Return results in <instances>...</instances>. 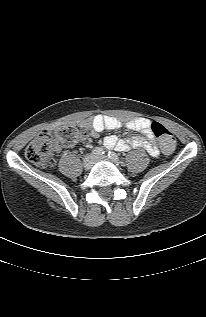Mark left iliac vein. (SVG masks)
Wrapping results in <instances>:
<instances>
[{
    "mask_svg": "<svg viewBox=\"0 0 206 317\" xmlns=\"http://www.w3.org/2000/svg\"><path fill=\"white\" fill-rule=\"evenodd\" d=\"M102 160H108V158L106 156H100L95 158V161H102Z\"/></svg>",
    "mask_w": 206,
    "mask_h": 317,
    "instance_id": "obj_1",
    "label": "left iliac vein"
}]
</instances>
